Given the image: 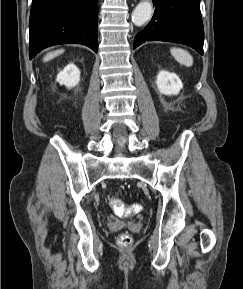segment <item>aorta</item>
<instances>
[{"label":"aorta","instance_id":"1","mask_svg":"<svg viewBox=\"0 0 243 289\" xmlns=\"http://www.w3.org/2000/svg\"><path fill=\"white\" fill-rule=\"evenodd\" d=\"M152 13V4L149 1H142L135 7L132 21L136 26H142L151 19Z\"/></svg>","mask_w":243,"mask_h":289}]
</instances>
